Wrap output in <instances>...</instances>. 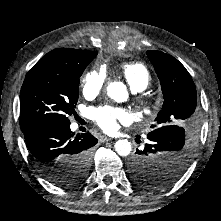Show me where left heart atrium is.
<instances>
[{"instance_id": "obj_1", "label": "left heart atrium", "mask_w": 221, "mask_h": 221, "mask_svg": "<svg viewBox=\"0 0 221 221\" xmlns=\"http://www.w3.org/2000/svg\"><path fill=\"white\" fill-rule=\"evenodd\" d=\"M91 118L105 132L116 130L119 122H127L129 115L123 108L102 106L91 111Z\"/></svg>"}]
</instances>
